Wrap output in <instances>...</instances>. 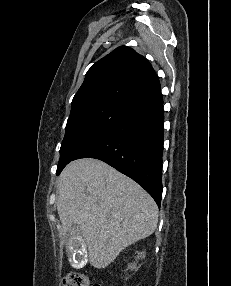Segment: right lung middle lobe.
Instances as JSON below:
<instances>
[{"instance_id": "obj_1", "label": "right lung middle lobe", "mask_w": 231, "mask_h": 286, "mask_svg": "<svg viewBox=\"0 0 231 286\" xmlns=\"http://www.w3.org/2000/svg\"><path fill=\"white\" fill-rule=\"evenodd\" d=\"M132 113L130 107L113 101L95 103L72 112L60 149L57 175L87 145Z\"/></svg>"}]
</instances>
